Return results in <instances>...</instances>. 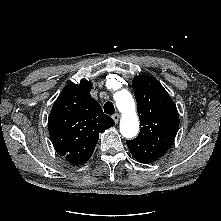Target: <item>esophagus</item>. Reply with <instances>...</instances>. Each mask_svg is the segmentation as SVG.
<instances>
[{
    "label": "esophagus",
    "instance_id": "34e87169",
    "mask_svg": "<svg viewBox=\"0 0 221 221\" xmlns=\"http://www.w3.org/2000/svg\"><path fill=\"white\" fill-rule=\"evenodd\" d=\"M112 118H113V120H114L115 123H118V121H119V119H120V115H119L118 113H116V114H114V115L112 116Z\"/></svg>",
    "mask_w": 221,
    "mask_h": 221
}]
</instances>
